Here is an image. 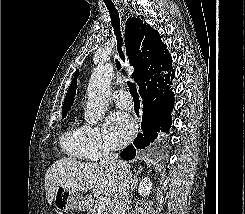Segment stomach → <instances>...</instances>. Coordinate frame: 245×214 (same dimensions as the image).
I'll return each instance as SVG.
<instances>
[{
    "label": "stomach",
    "mask_w": 245,
    "mask_h": 214,
    "mask_svg": "<svg viewBox=\"0 0 245 214\" xmlns=\"http://www.w3.org/2000/svg\"><path fill=\"white\" fill-rule=\"evenodd\" d=\"M53 204L61 212L86 210L89 208L91 200L78 191L69 190L60 186L56 189Z\"/></svg>",
    "instance_id": "1"
}]
</instances>
